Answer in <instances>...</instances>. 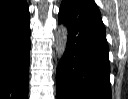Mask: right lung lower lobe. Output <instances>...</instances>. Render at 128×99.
<instances>
[{
    "mask_svg": "<svg viewBox=\"0 0 128 99\" xmlns=\"http://www.w3.org/2000/svg\"><path fill=\"white\" fill-rule=\"evenodd\" d=\"M30 14L28 5L0 23V99H27Z\"/></svg>",
    "mask_w": 128,
    "mask_h": 99,
    "instance_id": "obj_1",
    "label": "right lung lower lobe"
}]
</instances>
